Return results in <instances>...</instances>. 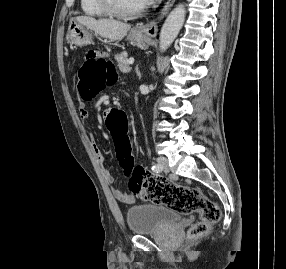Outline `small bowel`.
Returning a JSON list of instances; mask_svg holds the SVG:
<instances>
[{"label": "small bowel", "mask_w": 286, "mask_h": 269, "mask_svg": "<svg viewBox=\"0 0 286 269\" xmlns=\"http://www.w3.org/2000/svg\"><path fill=\"white\" fill-rule=\"evenodd\" d=\"M79 115L83 120H86L89 117V112L84 102L79 103ZM106 116H110L109 108H104L103 111H101V115H99V120H106ZM90 142L95 159L103 169L105 179L107 180L108 183H112L114 181V177L110 172V170L103 167L104 157L93 136L90 137ZM113 194L117 200H119L124 204H133L136 201V197L133 194L125 192L121 189H113Z\"/></svg>", "instance_id": "c3829d8e"}]
</instances>
